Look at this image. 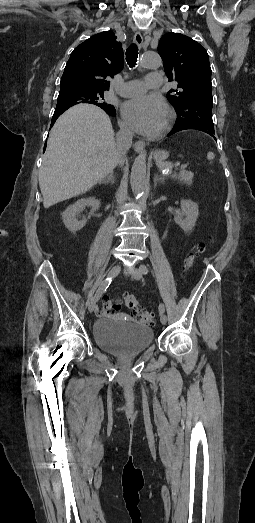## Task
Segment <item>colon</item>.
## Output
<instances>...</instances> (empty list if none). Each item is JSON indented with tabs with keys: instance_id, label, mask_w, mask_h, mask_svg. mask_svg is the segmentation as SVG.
I'll return each mask as SVG.
<instances>
[{
	"instance_id": "obj_1",
	"label": "colon",
	"mask_w": 255,
	"mask_h": 523,
	"mask_svg": "<svg viewBox=\"0 0 255 523\" xmlns=\"http://www.w3.org/2000/svg\"><path fill=\"white\" fill-rule=\"evenodd\" d=\"M205 251V246L200 245L197 250L190 253L185 261L183 268L185 270L190 269L195 263L196 259ZM125 305L131 310L134 317L145 325L152 324L154 322V315L151 312L143 311L140 308L139 301L132 295L125 296ZM120 310V304L112 299L105 298L102 303V314H114Z\"/></svg>"
}]
</instances>
